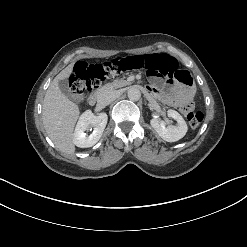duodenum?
Segmentation results:
<instances>
[{"label":"duodenum","mask_w":247,"mask_h":247,"mask_svg":"<svg viewBox=\"0 0 247 247\" xmlns=\"http://www.w3.org/2000/svg\"><path fill=\"white\" fill-rule=\"evenodd\" d=\"M101 91L100 90H95L94 92L91 93L89 97V103L91 105H97L101 102Z\"/></svg>","instance_id":"410a0bca"}]
</instances>
